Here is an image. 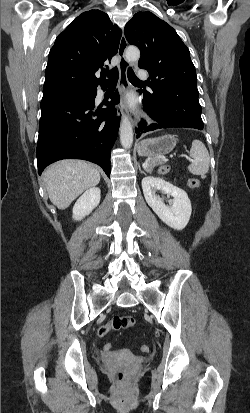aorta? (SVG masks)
I'll return each mask as SVG.
<instances>
[{
	"instance_id": "obj_1",
	"label": "aorta",
	"mask_w": 250,
	"mask_h": 413,
	"mask_svg": "<svg viewBox=\"0 0 250 413\" xmlns=\"http://www.w3.org/2000/svg\"><path fill=\"white\" fill-rule=\"evenodd\" d=\"M127 61L134 62L140 57V51L136 47H128L125 52ZM120 141L121 145L125 149L131 148L133 144V129L132 124L128 116L123 115L120 124Z\"/></svg>"
}]
</instances>
